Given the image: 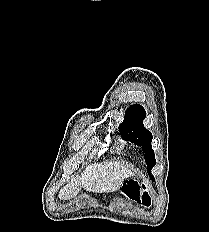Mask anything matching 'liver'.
I'll list each match as a JSON object with an SVG mask.
<instances>
[{"label": "liver", "instance_id": "1", "mask_svg": "<svg viewBox=\"0 0 209 232\" xmlns=\"http://www.w3.org/2000/svg\"><path fill=\"white\" fill-rule=\"evenodd\" d=\"M133 176L131 167L119 162L94 163L87 166L82 176L75 177L59 192L61 200L72 199L79 193V186L94 193H105L119 189L123 181Z\"/></svg>", "mask_w": 209, "mask_h": 232}]
</instances>
